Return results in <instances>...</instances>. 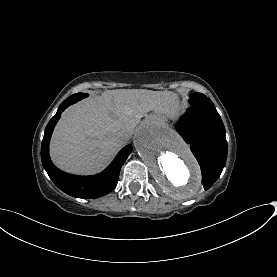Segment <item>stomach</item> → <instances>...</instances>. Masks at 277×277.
I'll use <instances>...</instances> for the list:
<instances>
[{
	"label": "stomach",
	"mask_w": 277,
	"mask_h": 277,
	"mask_svg": "<svg viewBox=\"0 0 277 277\" xmlns=\"http://www.w3.org/2000/svg\"><path fill=\"white\" fill-rule=\"evenodd\" d=\"M158 114H160L159 116H161L162 118H173V117H169V116H167L166 114H164V115H161V113H158Z\"/></svg>",
	"instance_id": "1"
}]
</instances>
